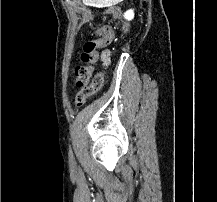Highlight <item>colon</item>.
Wrapping results in <instances>:
<instances>
[{"label": "colon", "instance_id": "1", "mask_svg": "<svg viewBox=\"0 0 217 202\" xmlns=\"http://www.w3.org/2000/svg\"><path fill=\"white\" fill-rule=\"evenodd\" d=\"M123 30L126 31L127 27L124 26ZM98 33L101 36L100 41L90 39L84 43L81 51V60L84 64L78 66L74 71L76 86H84V89L79 91L76 95V103L78 105H83L87 99L93 97L101 89L104 82L103 74L98 72L94 74V81L90 83L91 85L89 87L86 85L88 83L89 76L93 73L92 64L96 59L97 48L99 47V44L103 45L108 43L113 34V30L108 25H100L98 27Z\"/></svg>", "mask_w": 217, "mask_h": 202}]
</instances>
